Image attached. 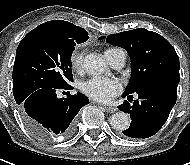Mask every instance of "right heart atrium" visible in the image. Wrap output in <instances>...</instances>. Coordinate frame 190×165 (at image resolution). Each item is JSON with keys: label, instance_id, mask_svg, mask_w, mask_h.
Returning a JSON list of instances; mask_svg holds the SVG:
<instances>
[{"label": "right heart atrium", "instance_id": "d8ad5b80", "mask_svg": "<svg viewBox=\"0 0 190 165\" xmlns=\"http://www.w3.org/2000/svg\"><path fill=\"white\" fill-rule=\"evenodd\" d=\"M83 63V53L75 51L71 56V66L74 70H80Z\"/></svg>", "mask_w": 190, "mask_h": 165}]
</instances>
